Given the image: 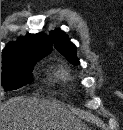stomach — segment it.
<instances>
[{"mask_svg": "<svg viewBox=\"0 0 123 130\" xmlns=\"http://www.w3.org/2000/svg\"><path fill=\"white\" fill-rule=\"evenodd\" d=\"M72 130H85V129H81V128H74Z\"/></svg>", "mask_w": 123, "mask_h": 130, "instance_id": "1", "label": "stomach"}]
</instances>
